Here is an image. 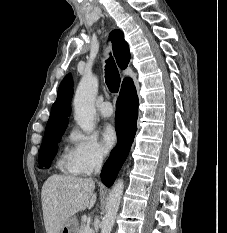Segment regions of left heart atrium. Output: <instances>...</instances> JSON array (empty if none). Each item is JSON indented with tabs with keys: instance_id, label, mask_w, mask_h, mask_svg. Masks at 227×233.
Segmentation results:
<instances>
[{
	"instance_id": "left-heart-atrium-1",
	"label": "left heart atrium",
	"mask_w": 227,
	"mask_h": 233,
	"mask_svg": "<svg viewBox=\"0 0 227 233\" xmlns=\"http://www.w3.org/2000/svg\"><path fill=\"white\" fill-rule=\"evenodd\" d=\"M102 140L107 150L111 149L117 142V133L113 126L107 125L102 132Z\"/></svg>"
}]
</instances>
